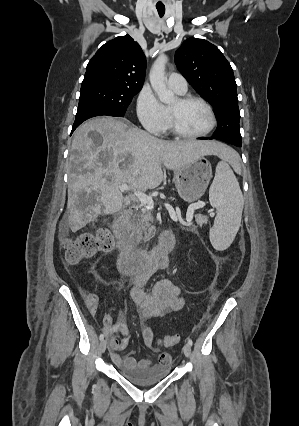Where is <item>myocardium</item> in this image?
Returning a JSON list of instances; mask_svg holds the SVG:
<instances>
[{"label":"myocardium","mask_w":299,"mask_h":426,"mask_svg":"<svg viewBox=\"0 0 299 426\" xmlns=\"http://www.w3.org/2000/svg\"><path fill=\"white\" fill-rule=\"evenodd\" d=\"M189 102H199L201 103L208 111L209 115H210V125L209 127L201 132V133H188L185 132L181 129V127L179 126L178 123V119H177V113L174 109L169 108L168 109V113H169V121H170V126L172 131L174 132V134H176L179 137L182 138H187V139H196V138H201V137H205L208 134H210L213 129L216 126L217 123V119H216V114L214 112L213 107L209 104L208 101H206L204 98L200 97V96H196V95H181L180 97L177 98V103L179 106L185 105Z\"/></svg>","instance_id":"1"}]
</instances>
